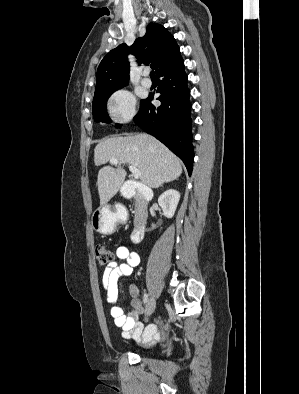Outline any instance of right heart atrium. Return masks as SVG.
I'll return each instance as SVG.
<instances>
[{"label":"right heart atrium","instance_id":"obj_1","mask_svg":"<svg viewBox=\"0 0 299 394\" xmlns=\"http://www.w3.org/2000/svg\"><path fill=\"white\" fill-rule=\"evenodd\" d=\"M109 110L117 123H127L136 114V98L127 89L117 90L109 100Z\"/></svg>","mask_w":299,"mask_h":394}]
</instances>
